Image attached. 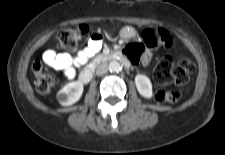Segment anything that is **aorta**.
Returning <instances> with one entry per match:
<instances>
[{
	"label": "aorta",
	"mask_w": 225,
	"mask_h": 155,
	"mask_svg": "<svg viewBox=\"0 0 225 155\" xmlns=\"http://www.w3.org/2000/svg\"><path fill=\"white\" fill-rule=\"evenodd\" d=\"M110 72H119L122 69V65L118 61H111L108 65Z\"/></svg>",
	"instance_id": "1"
}]
</instances>
